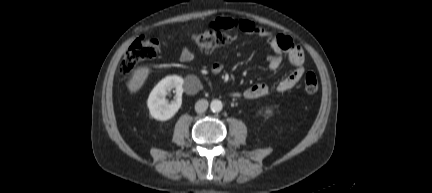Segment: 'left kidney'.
I'll use <instances>...</instances> for the list:
<instances>
[{
  "label": "left kidney",
  "mask_w": 432,
  "mask_h": 193,
  "mask_svg": "<svg viewBox=\"0 0 432 193\" xmlns=\"http://www.w3.org/2000/svg\"><path fill=\"white\" fill-rule=\"evenodd\" d=\"M266 114H268V115H272V114H273V110H272V109H267V110H266Z\"/></svg>",
  "instance_id": "5707ae66"
}]
</instances>
